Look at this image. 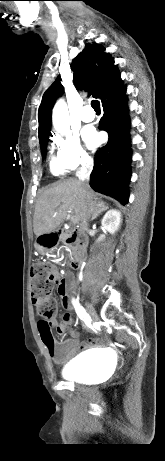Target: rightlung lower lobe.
Returning a JSON list of instances; mask_svg holds the SVG:
<instances>
[{
    "instance_id": "1",
    "label": "right lung lower lobe",
    "mask_w": 165,
    "mask_h": 461,
    "mask_svg": "<svg viewBox=\"0 0 165 461\" xmlns=\"http://www.w3.org/2000/svg\"><path fill=\"white\" fill-rule=\"evenodd\" d=\"M103 111L99 129L106 131L109 139L106 146L95 155L90 186L125 205L129 199L128 183L131 174L130 119L125 92L103 105Z\"/></svg>"
}]
</instances>
